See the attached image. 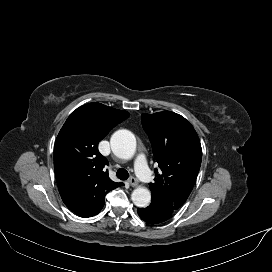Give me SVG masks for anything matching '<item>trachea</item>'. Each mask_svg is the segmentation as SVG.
<instances>
[{
    "instance_id": "3493384b",
    "label": "trachea",
    "mask_w": 272,
    "mask_h": 272,
    "mask_svg": "<svg viewBox=\"0 0 272 272\" xmlns=\"http://www.w3.org/2000/svg\"><path fill=\"white\" fill-rule=\"evenodd\" d=\"M116 175L120 180H126L129 177L128 171L125 170L124 168L118 169Z\"/></svg>"
}]
</instances>
